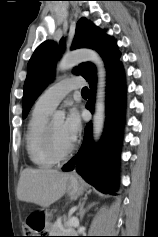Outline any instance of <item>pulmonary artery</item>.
Wrapping results in <instances>:
<instances>
[{
    "instance_id": "e3ab8cb5",
    "label": "pulmonary artery",
    "mask_w": 158,
    "mask_h": 237,
    "mask_svg": "<svg viewBox=\"0 0 158 237\" xmlns=\"http://www.w3.org/2000/svg\"><path fill=\"white\" fill-rule=\"evenodd\" d=\"M81 77L62 79L48 88L37 100L36 104L48 110H54L65 96L74 89L83 87Z\"/></svg>"
}]
</instances>
